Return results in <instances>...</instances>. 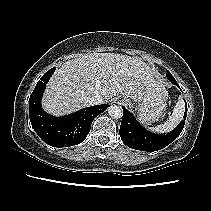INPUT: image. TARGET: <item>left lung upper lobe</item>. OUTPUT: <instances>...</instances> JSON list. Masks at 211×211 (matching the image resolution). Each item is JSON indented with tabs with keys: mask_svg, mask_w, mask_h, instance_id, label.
<instances>
[{
	"mask_svg": "<svg viewBox=\"0 0 211 211\" xmlns=\"http://www.w3.org/2000/svg\"><path fill=\"white\" fill-rule=\"evenodd\" d=\"M166 76L171 82L173 81L174 77L172 76V74L169 71H166Z\"/></svg>",
	"mask_w": 211,
	"mask_h": 211,
	"instance_id": "obj_1",
	"label": "left lung upper lobe"
}]
</instances>
